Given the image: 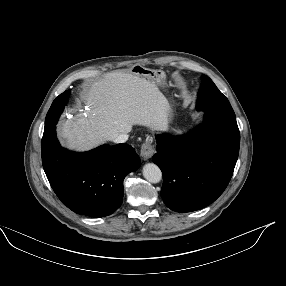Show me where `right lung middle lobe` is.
I'll list each match as a JSON object with an SVG mask.
<instances>
[{
    "mask_svg": "<svg viewBox=\"0 0 286 286\" xmlns=\"http://www.w3.org/2000/svg\"><path fill=\"white\" fill-rule=\"evenodd\" d=\"M70 91H65L53 101L45 119V128H50L51 126L56 125L60 114L62 113L66 103Z\"/></svg>",
    "mask_w": 286,
    "mask_h": 286,
    "instance_id": "1",
    "label": "right lung middle lobe"
}]
</instances>
